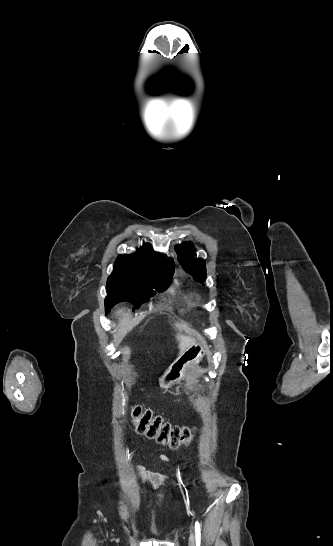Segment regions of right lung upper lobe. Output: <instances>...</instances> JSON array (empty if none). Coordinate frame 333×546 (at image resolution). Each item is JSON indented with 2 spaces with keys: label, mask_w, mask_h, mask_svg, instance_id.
<instances>
[{
  "label": "right lung upper lobe",
  "mask_w": 333,
  "mask_h": 546,
  "mask_svg": "<svg viewBox=\"0 0 333 546\" xmlns=\"http://www.w3.org/2000/svg\"><path fill=\"white\" fill-rule=\"evenodd\" d=\"M160 263L174 264L172 258H162L161 254L155 253L150 244L144 245L131 255H120L115 264L121 266L126 272L154 277L157 266Z\"/></svg>",
  "instance_id": "cb5924a9"
}]
</instances>
